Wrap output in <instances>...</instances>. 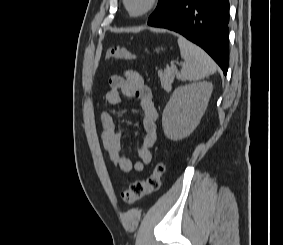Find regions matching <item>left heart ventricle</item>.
Wrapping results in <instances>:
<instances>
[{"label": "left heart ventricle", "mask_w": 283, "mask_h": 245, "mask_svg": "<svg viewBox=\"0 0 283 245\" xmlns=\"http://www.w3.org/2000/svg\"><path fill=\"white\" fill-rule=\"evenodd\" d=\"M148 3V0H129V7L133 12L141 11Z\"/></svg>", "instance_id": "left-heart-ventricle-1"}]
</instances>
